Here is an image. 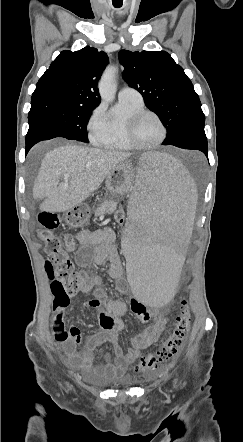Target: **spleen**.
Segmentation results:
<instances>
[{
    "label": "spleen",
    "mask_w": 243,
    "mask_h": 442,
    "mask_svg": "<svg viewBox=\"0 0 243 442\" xmlns=\"http://www.w3.org/2000/svg\"><path fill=\"white\" fill-rule=\"evenodd\" d=\"M129 219L123 230L125 279L142 307H163L176 296L182 263L188 258L191 217L197 207L193 179L163 153H146L130 185Z\"/></svg>",
    "instance_id": "spleen-1"
}]
</instances>
